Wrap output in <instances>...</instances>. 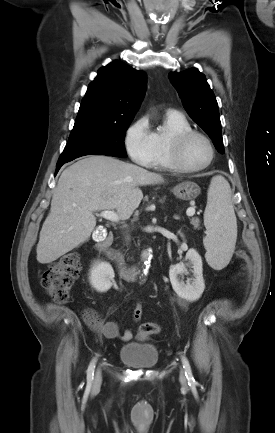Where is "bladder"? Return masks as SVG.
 <instances>
[{"instance_id":"1","label":"bladder","mask_w":275,"mask_h":433,"mask_svg":"<svg viewBox=\"0 0 275 433\" xmlns=\"http://www.w3.org/2000/svg\"><path fill=\"white\" fill-rule=\"evenodd\" d=\"M118 357L129 366L151 368L158 362V349L149 343L128 342L120 348Z\"/></svg>"}]
</instances>
